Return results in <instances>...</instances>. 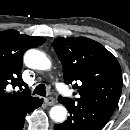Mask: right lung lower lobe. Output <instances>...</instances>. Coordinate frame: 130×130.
<instances>
[{
    "mask_svg": "<svg viewBox=\"0 0 130 130\" xmlns=\"http://www.w3.org/2000/svg\"><path fill=\"white\" fill-rule=\"evenodd\" d=\"M42 103L43 99H38L35 103L19 111L1 115L0 130H22L26 114L41 106Z\"/></svg>",
    "mask_w": 130,
    "mask_h": 130,
    "instance_id": "98d812e1",
    "label": "right lung lower lobe"
}]
</instances>
